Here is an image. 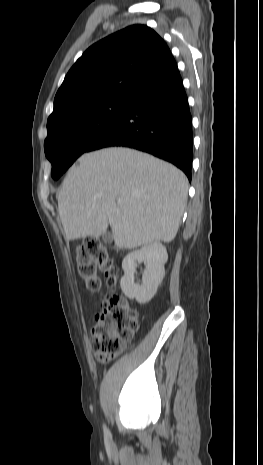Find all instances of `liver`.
Returning a JSON list of instances; mask_svg holds the SVG:
<instances>
[{
    "instance_id": "liver-1",
    "label": "liver",
    "mask_w": 263,
    "mask_h": 465,
    "mask_svg": "<svg viewBox=\"0 0 263 465\" xmlns=\"http://www.w3.org/2000/svg\"><path fill=\"white\" fill-rule=\"evenodd\" d=\"M67 173L58 212L68 240L99 237L110 225L117 248L171 242L188 180L175 166L123 147L82 155Z\"/></svg>"
}]
</instances>
